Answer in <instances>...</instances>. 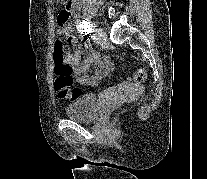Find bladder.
<instances>
[{
	"instance_id": "bladder-1",
	"label": "bladder",
	"mask_w": 207,
	"mask_h": 179,
	"mask_svg": "<svg viewBox=\"0 0 207 179\" xmlns=\"http://www.w3.org/2000/svg\"><path fill=\"white\" fill-rule=\"evenodd\" d=\"M99 111V99L94 94H81L67 105L66 116L75 121L89 122L96 118Z\"/></svg>"
}]
</instances>
